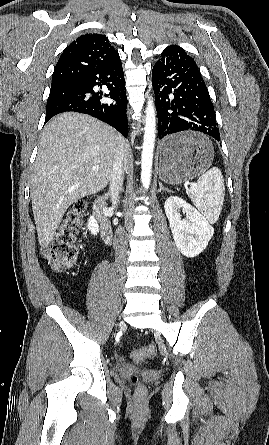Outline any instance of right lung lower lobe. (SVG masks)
I'll list each match as a JSON object with an SVG mask.
<instances>
[{
  "instance_id": "98d812e1",
  "label": "right lung lower lobe",
  "mask_w": 269,
  "mask_h": 445,
  "mask_svg": "<svg viewBox=\"0 0 269 445\" xmlns=\"http://www.w3.org/2000/svg\"><path fill=\"white\" fill-rule=\"evenodd\" d=\"M96 85L101 88L102 86L107 87L109 94H105V97L109 96L114 100V103H102L100 101L102 93L99 95L93 91V87ZM72 87V93L68 98L62 99L46 109L45 123L56 114L74 111L98 118L127 137V97L120 57L84 74Z\"/></svg>"
}]
</instances>
